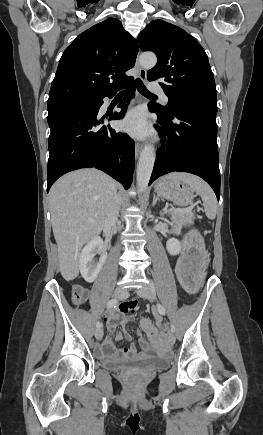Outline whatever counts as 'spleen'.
<instances>
[{"label": "spleen", "mask_w": 263, "mask_h": 435, "mask_svg": "<svg viewBox=\"0 0 263 435\" xmlns=\"http://www.w3.org/2000/svg\"><path fill=\"white\" fill-rule=\"evenodd\" d=\"M164 178L187 184L191 188V190L195 191L202 198L206 216L209 219H214L216 217L217 200L215 194L208 186V184L204 182L201 178L193 174L184 172H173L171 174H168Z\"/></svg>", "instance_id": "1"}]
</instances>
